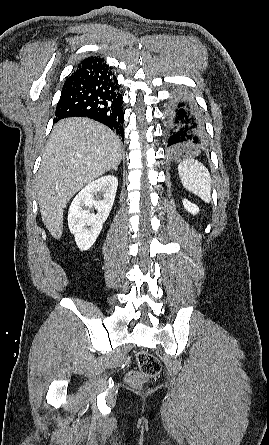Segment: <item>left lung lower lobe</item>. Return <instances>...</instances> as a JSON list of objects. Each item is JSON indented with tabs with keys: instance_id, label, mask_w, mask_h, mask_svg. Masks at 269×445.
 <instances>
[{
	"instance_id": "obj_1",
	"label": "left lung lower lobe",
	"mask_w": 269,
	"mask_h": 445,
	"mask_svg": "<svg viewBox=\"0 0 269 445\" xmlns=\"http://www.w3.org/2000/svg\"><path fill=\"white\" fill-rule=\"evenodd\" d=\"M166 120L168 146L173 145L178 150L187 145H199L203 141L204 125L190 97L179 94L173 98L167 108Z\"/></svg>"
}]
</instances>
